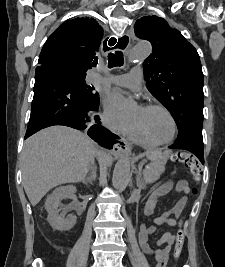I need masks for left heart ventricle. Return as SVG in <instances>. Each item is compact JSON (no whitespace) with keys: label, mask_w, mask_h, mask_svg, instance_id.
Here are the masks:
<instances>
[{"label":"left heart ventricle","mask_w":225,"mask_h":267,"mask_svg":"<svg viewBox=\"0 0 225 267\" xmlns=\"http://www.w3.org/2000/svg\"><path fill=\"white\" fill-rule=\"evenodd\" d=\"M130 120L138 124L145 134L155 142L166 141L173 134L172 121L160 110H144L141 107H137Z\"/></svg>","instance_id":"b2bd125f"}]
</instances>
